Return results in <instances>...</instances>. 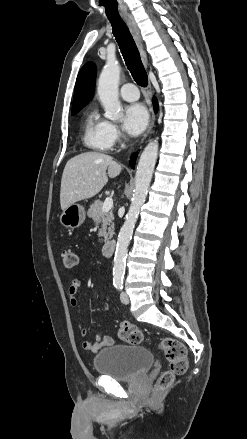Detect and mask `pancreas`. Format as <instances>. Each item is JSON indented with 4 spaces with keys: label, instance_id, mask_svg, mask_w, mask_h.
<instances>
[{
    "label": "pancreas",
    "instance_id": "obj_1",
    "mask_svg": "<svg viewBox=\"0 0 247 439\" xmlns=\"http://www.w3.org/2000/svg\"><path fill=\"white\" fill-rule=\"evenodd\" d=\"M102 206V201L96 200L91 204L87 211V215L89 218H92L94 222L101 223V229L99 230L98 236L108 239L111 238L114 233V215L112 211L102 212Z\"/></svg>",
    "mask_w": 247,
    "mask_h": 439
}]
</instances>
